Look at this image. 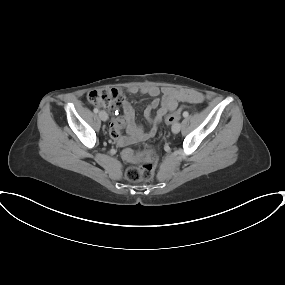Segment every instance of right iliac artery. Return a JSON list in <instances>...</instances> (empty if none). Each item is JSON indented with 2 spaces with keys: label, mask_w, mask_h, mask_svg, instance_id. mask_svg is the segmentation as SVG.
<instances>
[{
  "label": "right iliac artery",
  "mask_w": 285,
  "mask_h": 285,
  "mask_svg": "<svg viewBox=\"0 0 285 285\" xmlns=\"http://www.w3.org/2000/svg\"><path fill=\"white\" fill-rule=\"evenodd\" d=\"M94 113H98V109L97 108H94Z\"/></svg>",
  "instance_id": "obj_1"
}]
</instances>
